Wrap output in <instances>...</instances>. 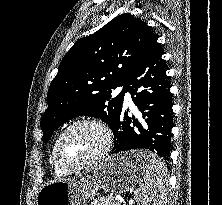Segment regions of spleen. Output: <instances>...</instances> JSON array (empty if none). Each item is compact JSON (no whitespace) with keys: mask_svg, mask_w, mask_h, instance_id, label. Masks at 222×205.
Instances as JSON below:
<instances>
[{"mask_svg":"<svg viewBox=\"0 0 222 205\" xmlns=\"http://www.w3.org/2000/svg\"><path fill=\"white\" fill-rule=\"evenodd\" d=\"M145 170L135 199L141 205H164L167 190V167L155 154L144 156Z\"/></svg>","mask_w":222,"mask_h":205,"instance_id":"1","label":"spleen"}]
</instances>
